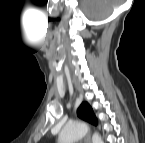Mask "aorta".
I'll return each mask as SVG.
<instances>
[{
  "instance_id": "762f6f07",
  "label": "aorta",
  "mask_w": 145,
  "mask_h": 143,
  "mask_svg": "<svg viewBox=\"0 0 145 143\" xmlns=\"http://www.w3.org/2000/svg\"><path fill=\"white\" fill-rule=\"evenodd\" d=\"M88 131V127L84 122L75 121L67 124L59 135L61 143H74L78 141ZM92 143H103L101 136L98 133H94L92 136Z\"/></svg>"
}]
</instances>
